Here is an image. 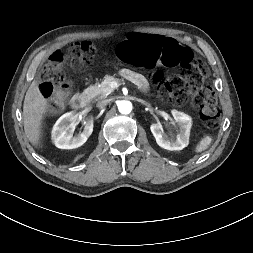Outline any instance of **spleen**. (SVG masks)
I'll return each instance as SVG.
<instances>
[{
	"mask_svg": "<svg viewBox=\"0 0 253 253\" xmlns=\"http://www.w3.org/2000/svg\"><path fill=\"white\" fill-rule=\"evenodd\" d=\"M211 143H212V138L210 136L203 137L199 141V143L196 145L195 152L201 153V152L205 151L206 149H208V147L211 145Z\"/></svg>",
	"mask_w": 253,
	"mask_h": 253,
	"instance_id": "3e777b00",
	"label": "spleen"
}]
</instances>
